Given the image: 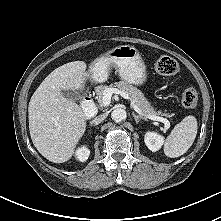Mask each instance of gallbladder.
Listing matches in <instances>:
<instances>
[{
    "instance_id": "bac80fb5",
    "label": "gallbladder",
    "mask_w": 221,
    "mask_h": 221,
    "mask_svg": "<svg viewBox=\"0 0 221 221\" xmlns=\"http://www.w3.org/2000/svg\"><path fill=\"white\" fill-rule=\"evenodd\" d=\"M62 96L72 101H78L80 99L79 93L72 91V90L62 91Z\"/></svg>"
}]
</instances>
